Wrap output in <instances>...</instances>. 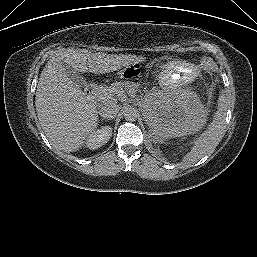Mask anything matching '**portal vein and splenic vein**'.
Wrapping results in <instances>:
<instances>
[{
	"instance_id": "18ae733b",
	"label": "portal vein and splenic vein",
	"mask_w": 257,
	"mask_h": 257,
	"mask_svg": "<svg viewBox=\"0 0 257 257\" xmlns=\"http://www.w3.org/2000/svg\"><path fill=\"white\" fill-rule=\"evenodd\" d=\"M128 94L133 96L134 95V91L133 90H128ZM109 99H110V97L107 96L105 101H108Z\"/></svg>"
}]
</instances>
